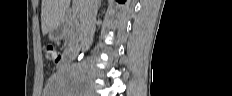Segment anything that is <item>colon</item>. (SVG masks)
Segmentation results:
<instances>
[{
    "label": "colon",
    "instance_id": "1",
    "mask_svg": "<svg viewBox=\"0 0 232 96\" xmlns=\"http://www.w3.org/2000/svg\"><path fill=\"white\" fill-rule=\"evenodd\" d=\"M46 55L49 61L59 63L62 59L61 52L52 46L46 48Z\"/></svg>",
    "mask_w": 232,
    "mask_h": 96
}]
</instances>
